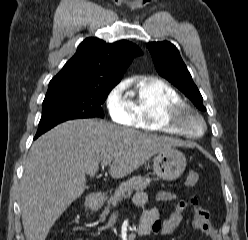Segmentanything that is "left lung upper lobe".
<instances>
[{
    "instance_id": "5c2ea615",
    "label": "left lung upper lobe",
    "mask_w": 248,
    "mask_h": 240,
    "mask_svg": "<svg viewBox=\"0 0 248 240\" xmlns=\"http://www.w3.org/2000/svg\"><path fill=\"white\" fill-rule=\"evenodd\" d=\"M157 72L181 90L197 108L205 111L203 98L178 49L168 41L147 44Z\"/></svg>"
}]
</instances>
